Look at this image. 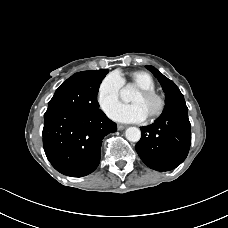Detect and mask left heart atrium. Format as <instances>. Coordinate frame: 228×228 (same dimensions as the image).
<instances>
[{
  "label": "left heart atrium",
  "instance_id": "obj_1",
  "mask_svg": "<svg viewBox=\"0 0 228 228\" xmlns=\"http://www.w3.org/2000/svg\"><path fill=\"white\" fill-rule=\"evenodd\" d=\"M110 119L121 123H139L147 118L143 108L139 104L115 103L107 110Z\"/></svg>",
  "mask_w": 228,
  "mask_h": 228
}]
</instances>
